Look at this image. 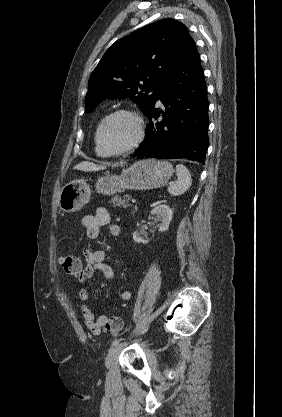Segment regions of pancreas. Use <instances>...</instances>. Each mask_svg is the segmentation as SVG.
Masks as SVG:
<instances>
[{
	"label": "pancreas",
	"instance_id": "pancreas-1",
	"mask_svg": "<svg viewBox=\"0 0 282 417\" xmlns=\"http://www.w3.org/2000/svg\"><path fill=\"white\" fill-rule=\"evenodd\" d=\"M130 200L131 194H124V196L117 194V196H113V198H111L110 202H112L113 206H123V209H126V206H132V204H130Z\"/></svg>",
	"mask_w": 282,
	"mask_h": 417
}]
</instances>
